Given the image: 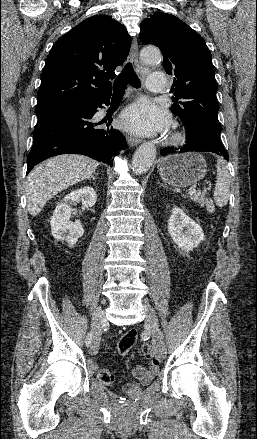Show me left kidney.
I'll list each match as a JSON object with an SVG mask.
<instances>
[{"mask_svg": "<svg viewBox=\"0 0 257 439\" xmlns=\"http://www.w3.org/2000/svg\"><path fill=\"white\" fill-rule=\"evenodd\" d=\"M168 232L178 248L185 252L193 250L204 240L202 228L178 207L172 209Z\"/></svg>", "mask_w": 257, "mask_h": 439, "instance_id": "left-kidney-1", "label": "left kidney"}]
</instances>
